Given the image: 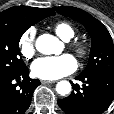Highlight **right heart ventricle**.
Here are the masks:
<instances>
[{
    "instance_id": "obj_1",
    "label": "right heart ventricle",
    "mask_w": 114,
    "mask_h": 114,
    "mask_svg": "<svg viewBox=\"0 0 114 114\" xmlns=\"http://www.w3.org/2000/svg\"><path fill=\"white\" fill-rule=\"evenodd\" d=\"M54 31L60 38L66 41L71 39L75 34L73 26L70 23L64 21L57 22L54 25Z\"/></svg>"
}]
</instances>
